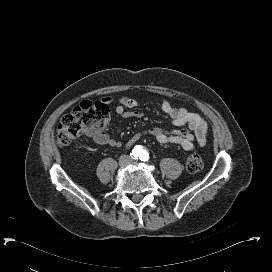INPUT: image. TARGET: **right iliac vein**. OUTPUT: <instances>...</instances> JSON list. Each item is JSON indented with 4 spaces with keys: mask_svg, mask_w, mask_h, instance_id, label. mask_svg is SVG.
Returning a JSON list of instances; mask_svg holds the SVG:
<instances>
[{
    "mask_svg": "<svg viewBox=\"0 0 272 272\" xmlns=\"http://www.w3.org/2000/svg\"><path fill=\"white\" fill-rule=\"evenodd\" d=\"M128 163V159L126 158V157H122L121 159H120V164L121 165H126Z\"/></svg>",
    "mask_w": 272,
    "mask_h": 272,
    "instance_id": "63e3f726",
    "label": "right iliac vein"
}]
</instances>
